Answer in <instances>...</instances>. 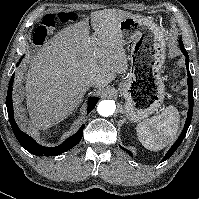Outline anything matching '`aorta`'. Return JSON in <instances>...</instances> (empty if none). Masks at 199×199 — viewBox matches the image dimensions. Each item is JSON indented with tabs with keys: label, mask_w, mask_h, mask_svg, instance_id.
<instances>
[{
	"label": "aorta",
	"mask_w": 199,
	"mask_h": 199,
	"mask_svg": "<svg viewBox=\"0 0 199 199\" xmlns=\"http://www.w3.org/2000/svg\"><path fill=\"white\" fill-rule=\"evenodd\" d=\"M116 109V105L112 100H103L98 104L97 110L101 116H111Z\"/></svg>",
	"instance_id": "1"
}]
</instances>
